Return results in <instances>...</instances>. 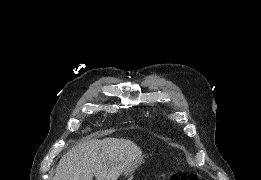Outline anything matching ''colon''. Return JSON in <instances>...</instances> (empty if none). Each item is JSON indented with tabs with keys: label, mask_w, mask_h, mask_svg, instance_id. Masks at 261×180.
Here are the masks:
<instances>
[{
	"label": "colon",
	"mask_w": 261,
	"mask_h": 180,
	"mask_svg": "<svg viewBox=\"0 0 261 180\" xmlns=\"http://www.w3.org/2000/svg\"><path fill=\"white\" fill-rule=\"evenodd\" d=\"M169 180H199L197 174L194 173H172Z\"/></svg>",
	"instance_id": "1"
}]
</instances>
